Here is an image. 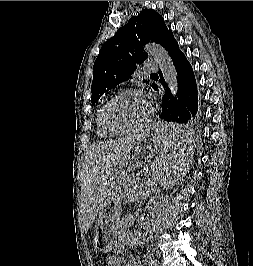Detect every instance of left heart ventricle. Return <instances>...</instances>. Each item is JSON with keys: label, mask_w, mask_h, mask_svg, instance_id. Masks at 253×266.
<instances>
[{"label": "left heart ventricle", "mask_w": 253, "mask_h": 266, "mask_svg": "<svg viewBox=\"0 0 253 266\" xmlns=\"http://www.w3.org/2000/svg\"><path fill=\"white\" fill-rule=\"evenodd\" d=\"M150 112L146 98L129 94L117 99L107 110L106 123L115 129H127L142 122Z\"/></svg>", "instance_id": "1"}]
</instances>
